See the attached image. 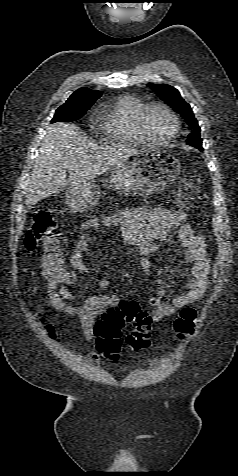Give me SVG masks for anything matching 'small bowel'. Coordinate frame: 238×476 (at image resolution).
<instances>
[{"label":"small bowel","instance_id":"small-bowel-1","mask_svg":"<svg viewBox=\"0 0 238 476\" xmlns=\"http://www.w3.org/2000/svg\"><path fill=\"white\" fill-rule=\"evenodd\" d=\"M187 215L184 212H172L164 208L138 207L129 208L116 214L103 217H92L85 220L80 227L81 236L76 242L75 250L69 257L72 268L82 276L88 275V268L84 262V253L88 249L90 233L99 228L119 227L124 240L137 247L139 264L145 275L151 274L149 256L158 250V242L174 232L183 247L186 261L190 265L186 290L172 302L163 301L164 290L149 299L153 311L150 314L152 323L172 316L177 310L192 304L203 296L207 288L210 273L209 258L203 238L194 233L191 226L185 222ZM71 281L53 284L46 288L47 301L58 311L77 317L86 341L96 337V324L102 314L110 307L121 302L118 295L109 294L111 282L102 279L99 288L102 294L87 295L79 304L73 305L74 296L68 284L74 282L75 275L68 272ZM90 360L97 359L96 353L88 355Z\"/></svg>","mask_w":238,"mask_h":476}]
</instances>
